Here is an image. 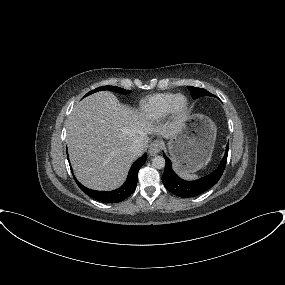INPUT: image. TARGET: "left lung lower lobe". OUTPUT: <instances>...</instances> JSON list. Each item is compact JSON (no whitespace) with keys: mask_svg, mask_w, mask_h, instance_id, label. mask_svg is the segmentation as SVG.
<instances>
[{"mask_svg":"<svg viewBox=\"0 0 285 285\" xmlns=\"http://www.w3.org/2000/svg\"><path fill=\"white\" fill-rule=\"evenodd\" d=\"M228 148L229 145L227 144L225 155L218 168L211 174L195 181H185L179 178L172 170L171 161L163 154L166 160L165 170L162 176L164 186L168 191L182 198L194 197L202 194L215 185L222 176L227 162Z\"/></svg>","mask_w":285,"mask_h":285,"instance_id":"1","label":"left lung lower lobe"}]
</instances>
